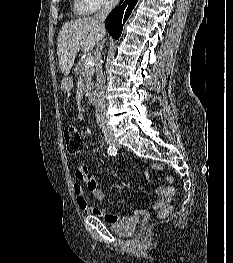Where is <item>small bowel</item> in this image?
Returning a JSON list of instances; mask_svg holds the SVG:
<instances>
[{
	"mask_svg": "<svg viewBox=\"0 0 233 263\" xmlns=\"http://www.w3.org/2000/svg\"><path fill=\"white\" fill-rule=\"evenodd\" d=\"M76 179L84 183L89 190L90 194L98 201H101L104 199V193L103 191L98 187L94 177L90 174L89 168L86 165H78L75 171ZM76 182L73 184V192L75 194L76 203L78 207L87 214H95L102 219H104L108 223L117 222L121 219L119 215L109 213L104 208H96L92 207L86 197L84 188L82 185ZM167 186L159 187L157 189V193L159 194L160 198L155 201L153 208L155 210H160L164 206L168 205V203L171 201L172 196L175 193V186L173 183V179L171 177H167ZM142 215H147L148 211L142 210Z\"/></svg>",
	"mask_w": 233,
	"mask_h": 263,
	"instance_id": "obj_1",
	"label": "small bowel"
}]
</instances>
